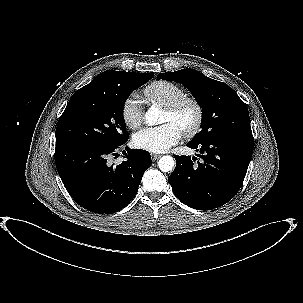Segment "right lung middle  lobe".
I'll return each instance as SVG.
<instances>
[{"mask_svg":"<svg viewBox=\"0 0 303 303\" xmlns=\"http://www.w3.org/2000/svg\"><path fill=\"white\" fill-rule=\"evenodd\" d=\"M153 73H133L116 80H104L77 90L56 128V147L71 144L118 145L128 140L123 106L133 90Z\"/></svg>","mask_w":303,"mask_h":303,"instance_id":"dd1d6c3e","label":"right lung middle lobe"}]
</instances>
